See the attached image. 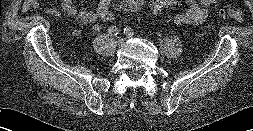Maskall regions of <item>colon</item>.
Segmentation results:
<instances>
[{"mask_svg":"<svg viewBox=\"0 0 253 131\" xmlns=\"http://www.w3.org/2000/svg\"><path fill=\"white\" fill-rule=\"evenodd\" d=\"M150 10L153 12H161L177 6L176 0H151L148 4ZM221 14L233 20L236 23L244 21V13L240 9L225 8L221 10ZM101 21L105 24H112L115 21V14L112 10L108 9L101 14Z\"/></svg>","mask_w":253,"mask_h":131,"instance_id":"obj_1","label":"colon"}]
</instances>
